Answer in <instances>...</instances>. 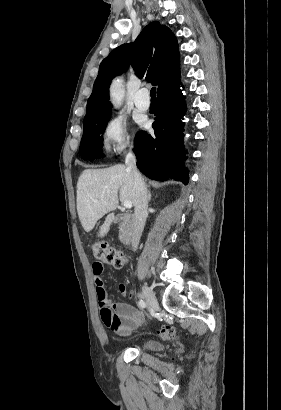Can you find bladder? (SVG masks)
Masks as SVG:
<instances>
[{"instance_id":"31cf9c89","label":"bladder","mask_w":281,"mask_h":410,"mask_svg":"<svg viewBox=\"0 0 281 410\" xmlns=\"http://www.w3.org/2000/svg\"><path fill=\"white\" fill-rule=\"evenodd\" d=\"M143 346H144L146 349L154 350V351H156V350H161V349H162V345H161L160 343H158L157 341H153V340H146V341L143 343Z\"/></svg>"}]
</instances>
